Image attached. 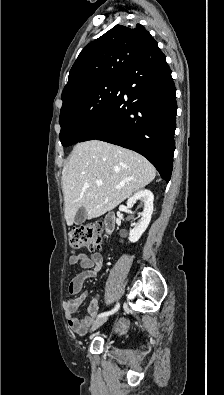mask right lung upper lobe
Segmentation results:
<instances>
[{"instance_id": "right-lung-upper-lobe-1", "label": "right lung upper lobe", "mask_w": 224, "mask_h": 395, "mask_svg": "<svg viewBox=\"0 0 224 395\" xmlns=\"http://www.w3.org/2000/svg\"><path fill=\"white\" fill-rule=\"evenodd\" d=\"M155 41L141 24L116 25L89 43L72 66L62 99L96 82L124 75L150 42Z\"/></svg>"}]
</instances>
